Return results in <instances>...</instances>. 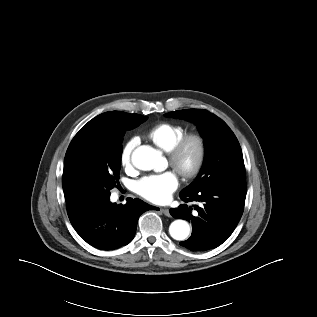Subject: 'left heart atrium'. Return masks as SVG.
Wrapping results in <instances>:
<instances>
[{
    "label": "left heart atrium",
    "mask_w": 317,
    "mask_h": 317,
    "mask_svg": "<svg viewBox=\"0 0 317 317\" xmlns=\"http://www.w3.org/2000/svg\"><path fill=\"white\" fill-rule=\"evenodd\" d=\"M178 185L179 181L176 174L167 171L141 178L136 183V191L143 198L153 203L161 204L169 201Z\"/></svg>",
    "instance_id": "39dd6f15"
}]
</instances>
